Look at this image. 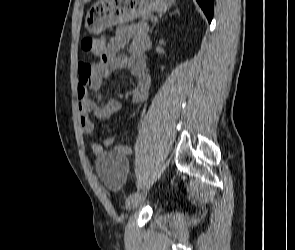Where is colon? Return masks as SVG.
I'll return each instance as SVG.
<instances>
[{
    "instance_id": "obj_1",
    "label": "colon",
    "mask_w": 295,
    "mask_h": 250,
    "mask_svg": "<svg viewBox=\"0 0 295 250\" xmlns=\"http://www.w3.org/2000/svg\"><path fill=\"white\" fill-rule=\"evenodd\" d=\"M103 38L98 36L85 37L81 42V47L85 52H96L102 48Z\"/></svg>"
}]
</instances>
